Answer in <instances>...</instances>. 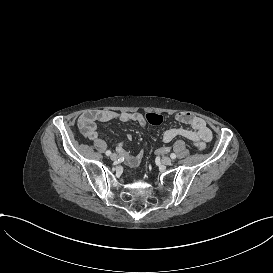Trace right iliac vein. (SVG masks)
I'll use <instances>...</instances> for the list:
<instances>
[{
	"instance_id": "obj_1",
	"label": "right iliac vein",
	"mask_w": 273,
	"mask_h": 273,
	"mask_svg": "<svg viewBox=\"0 0 273 273\" xmlns=\"http://www.w3.org/2000/svg\"><path fill=\"white\" fill-rule=\"evenodd\" d=\"M110 159H111L112 161H116V160L118 159V155H117L116 153H112V154L110 155Z\"/></svg>"
}]
</instances>
